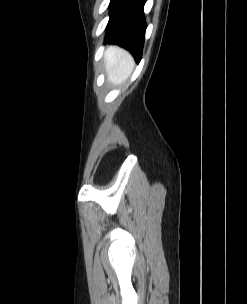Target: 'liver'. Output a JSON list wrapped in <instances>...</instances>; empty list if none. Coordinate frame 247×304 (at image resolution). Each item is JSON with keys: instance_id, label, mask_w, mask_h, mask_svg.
Instances as JSON below:
<instances>
[{"instance_id": "obj_1", "label": "liver", "mask_w": 247, "mask_h": 304, "mask_svg": "<svg viewBox=\"0 0 247 304\" xmlns=\"http://www.w3.org/2000/svg\"><path fill=\"white\" fill-rule=\"evenodd\" d=\"M107 80L113 86L124 83L132 73L135 63L126 50L118 46H109L104 54Z\"/></svg>"}]
</instances>
